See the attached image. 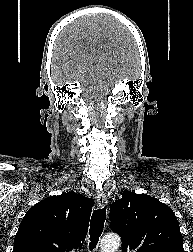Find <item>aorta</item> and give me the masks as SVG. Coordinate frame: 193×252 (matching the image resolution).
<instances>
[{"instance_id": "aorta-1", "label": "aorta", "mask_w": 193, "mask_h": 252, "mask_svg": "<svg viewBox=\"0 0 193 252\" xmlns=\"http://www.w3.org/2000/svg\"><path fill=\"white\" fill-rule=\"evenodd\" d=\"M121 240L118 235L110 234L106 235L101 240V251L102 252H115L120 246Z\"/></svg>"}]
</instances>
